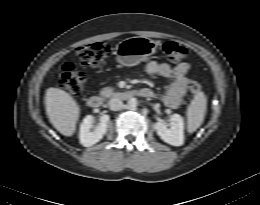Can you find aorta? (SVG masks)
Returning <instances> with one entry per match:
<instances>
[{
    "label": "aorta",
    "instance_id": "obj_1",
    "mask_svg": "<svg viewBox=\"0 0 260 205\" xmlns=\"http://www.w3.org/2000/svg\"><path fill=\"white\" fill-rule=\"evenodd\" d=\"M137 104H138V101H137V99L134 98V97H132V98H130V99L128 100V105H129V107H131V108H135V107L137 106Z\"/></svg>",
    "mask_w": 260,
    "mask_h": 205
}]
</instances>
